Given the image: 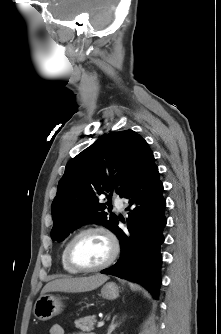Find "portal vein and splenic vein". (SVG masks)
Returning <instances> with one entry per match:
<instances>
[{
  "mask_svg": "<svg viewBox=\"0 0 221 334\" xmlns=\"http://www.w3.org/2000/svg\"><path fill=\"white\" fill-rule=\"evenodd\" d=\"M104 325L103 321L98 322L97 327H102Z\"/></svg>",
  "mask_w": 221,
  "mask_h": 334,
  "instance_id": "portal-vein-and-splenic-vein-1",
  "label": "portal vein and splenic vein"
}]
</instances>
